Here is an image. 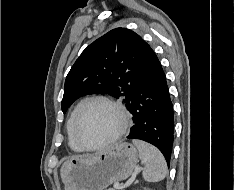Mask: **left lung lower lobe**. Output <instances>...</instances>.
Segmentation results:
<instances>
[{
	"instance_id": "1",
	"label": "left lung lower lobe",
	"mask_w": 234,
	"mask_h": 190,
	"mask_svg": "<svg viewBox=\"0 0 234 190\" xmlns=\"http://www.w3.org/2000/svg\"><path fill=\"white\" fill-rule=\"evenodd\" d=\"M140 54L139 80L127 104L134 123L127 138L140 139L156 146L169 164L174 114L166 76L156 54L144 40Z\"/></svg>"
}]
</instances>
